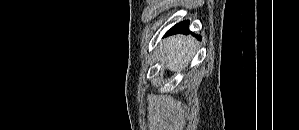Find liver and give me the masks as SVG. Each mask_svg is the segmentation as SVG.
<instances>
[{"mask_svg": "<svg viewBox=\"0 0 299 130\" xmlns=\"http://www.w3.org/2000/svg\"><path fill=\"white\" fill-rule=\"evenodd\" d=\"M196 41L187 36H173L163 42L165 64L171 71H179L194 55Z\"/></svg>", "mask_w": 299, "mask_h": 130, "instance_id": "liver-1", "label": "liver"}]
</instances>
